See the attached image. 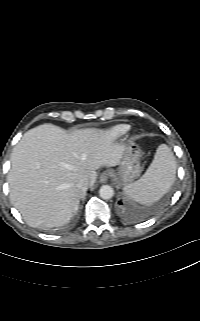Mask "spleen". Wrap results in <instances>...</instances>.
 Listing matches in <instances>:
<instances>
[{
	"instance_id": "obj_1",
	"label": "spleen",
	"mask_w": 200,
	"mask_h": 321,
	"mask_svg": "<svg viewBox=\"0 0 200 321\" xmlns=\"http://www.w3.org/2000/svg\"><path fill=\"white\" fill-rule=\"evenodd\" d=\"M176 179V158L172 150L161 144L143 176L124 186V193L132 200L150 205L161 199Z\"/></svg>"
}]
</instances>
